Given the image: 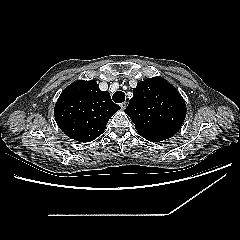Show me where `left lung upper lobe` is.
<instances>
[{
	"mask_svg": "<svg viewBox=\"0 0 240 240\" xmlns=\"http://www.w3.org/2000/svg\"><path fill=\"white\" fill-rule=\"evenodd\" d=\"M124 110L137 132L151 142L171 138L181 128L186 104L180 93L161 77L141 81Z\"/></svg>",
	"mask_w": 240,
	"mask_h": 240,
	"instance_id": "5c2ea615",
	"label": "left lung upper lobe"
}]
</instances>
